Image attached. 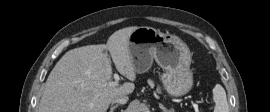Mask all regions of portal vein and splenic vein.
<instances>
[{
  "mask_svg": "<svg viewBox=\"0 0 270 112\" xmlns=\"http://www.w3.org/2000/svg\"><path fill=\"white\" fill-rule=\"evenodd\" d=\"M114 79H115V81L111 82L110 84L113 85V86L119 85L118 82H119L120 78H119V75L117 73L114 74ZM192 105H193V107L195 109V112H199L198 111V104L192 103Z\"/></svg>",
  "mask_w": 270,
  "mask_h": 112,
  "instance_id": "obj_1",
  "label": "portal vein and splenic vein"
}]
</instances>
